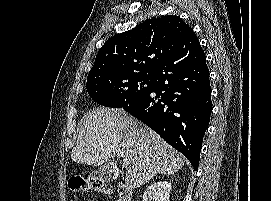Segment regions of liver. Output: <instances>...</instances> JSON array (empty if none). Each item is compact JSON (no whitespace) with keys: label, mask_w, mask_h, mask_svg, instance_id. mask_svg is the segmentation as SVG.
<instances>
[{"label":"liver","mask_w":271,"mask_h":201,"mask_svg":"<svg viewBox=\"0 0 271 201\" xmlns=\"http://www.w3.org/2000/svg\"><path fill=\"white\" fill-rule=\"evenodd\" d=\"M112 156L130 159L126 172H121L127 189L138 188L157 174L172 175L184 165L178 151L126 111L98 107L85 114L71 158L99 166Z\"/></svg>","instance_id":"6515ba94"}]
</instances>
